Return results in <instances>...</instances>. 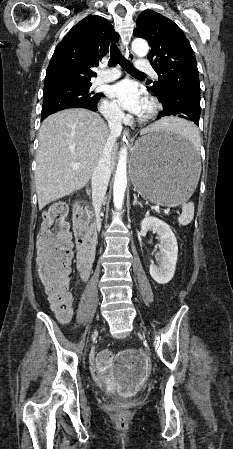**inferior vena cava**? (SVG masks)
Here are the masks:
<instances>
[{
	"mask_svg": "<svg viewBox=\"0 0 233 449\" xmlns=\"http://www.w3.org/2000/svg\"><path fill=\"white\" fill-rule=\"evenodd\" d=\"M110 134L92 174V201L95 208L97 229L101 228L100 211L111 177V152L116 138L122 131V114L114 112L108 118Z\"/></svg>",
	"mask_w": 233,
	"mask_h": 449,
	"instance_id": "602c4592",
	"label": "inferior vena cava"
}]
</instances>
